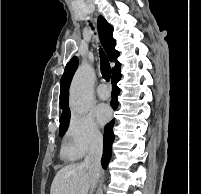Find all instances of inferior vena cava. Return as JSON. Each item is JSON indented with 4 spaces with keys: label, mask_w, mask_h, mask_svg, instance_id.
<instances>
[{
    "label": "inferior vena cava",
    "mask_w": 201,
    "mask_h": 194,
    "mask_svg": "<svg viewBox=\"0 0 201 194\" xmlns=\"http://www.w3.org/2000/svg\"><path fill=\"white\" fill-rule=\"evenodd\" d=\"M102 153L103 139L102 137H97L91 143L89 153L87 154L84 160V164L88 167L92 175L89 194H93L94 188L100 176Z\"/></svg>",
    "instance_id": "1"
}]
</instances>
